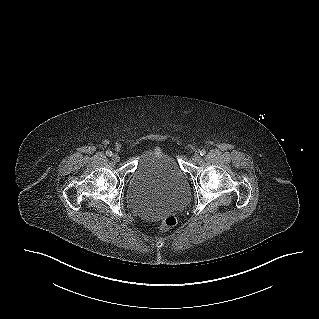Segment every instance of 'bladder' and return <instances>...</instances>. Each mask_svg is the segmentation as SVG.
Segmentation results:
<instances>
[{"label":"bladder","mask_w":319,"mask_h":319,"mask_svg":"<svg viewBox=\"0 0 319 319\" xmlns=\"http://www.w3.org/2000/svg\"><path fill=\"white\" fill-rule=\"evenodd\" d=\"M190 197L187 174L168 153L149 149L131 174L126 199L143 216H156L185 204Z\"/></svg>","instance_id":"31cf9c89"}]
</instances>
